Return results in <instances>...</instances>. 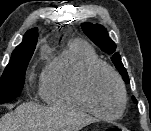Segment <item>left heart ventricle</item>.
Wrapping results in <instances>:
<instances>
[{
	"label": "left heart ventricle",
	"mask_w": 151,
	"mask_h": 131,
	"mask_svg": "<svg viewBox=\"0 0 151 131\" xmlns=\"http://www.w3.org/2000/svg\"><path fill=\"white\" fill-rule=\"evenodd\" d=\"M89 95L95 108L103 114L114 115L121 106L119 88L106 70H98L89 80Z\"/></svg>",
	"instance_id": "left-heart-ventricle-1"
}]
</instances>
